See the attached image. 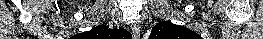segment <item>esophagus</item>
<instances>
[{
  "mask_svg": "<svg viewBox=\"0 0 263 39\" xmlns=\"http://www.w3.org/2000/svg\"><path fill=\"white\" fill-rule=\"evenodd\" d=\"M132 29V34L134 39H139L140 38V30L139 27L136 24H133L131 26Z\"/></svg>",
  "mask_w": 263,
  "mask_h": 39,
  "instance_id": "34e87169",
  "label": "esophagus"
}]
</instances>
